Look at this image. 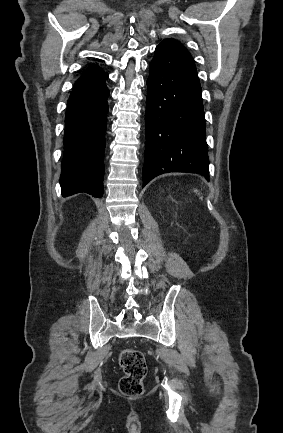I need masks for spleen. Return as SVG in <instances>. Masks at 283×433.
Returning a JSON list of instances; mask_svg holds the SVG:
<instances>
[{"label": "spleen", "mask_w": 283, "mask_h": 433, "mask_svg": "<svg viewBox=\"0 0 283 433\" xmlns=\"http://www.w3.org/2000/svg\"><path fill=\"white\" fill-rule=\"evenodd\" d=\"M194 192H198V190H194Z\"/></svg>", "instance_id": "spleen-1"}]
</instances>
